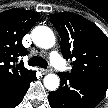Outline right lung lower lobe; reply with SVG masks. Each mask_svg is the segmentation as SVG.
<instances>
[{
    "instance_id": "right-lung-lower-lobe-1",
    "label": "right lung lower lobe",
    "mask_w": 108,
    "mask_h": 108,
    "mask_svg": "<svg viewBox=\"0 0 108 108\" xmlns=\"http://www.w3.org/2000/svg\"><path fill=\"white\" fill-rule=\"evenodd\" d=\"M35 78L36 72L32 71L25 79L9 86L0 87V108H14L19 105L28 90L30 82Z\"/></svg>"
}]
</instances>
